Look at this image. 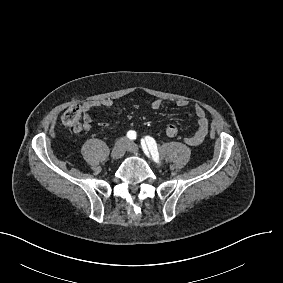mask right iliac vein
Wrapping results in <instances>:
<instances>
[{
  "label": "right iliac vein",
  "mask_w": 283,
  "mask_h": 283,
  "mask_svg": "<svg viewBox=\"0 0 283 283\" xmlns=\"http://www.w3.org/2000/svg\"><path fill=\"white\" fill-rule=\"evenodd\" d=\"M126 147H127V140L126 139H120L118 140L113 149H112V152H111V157L113 160H118L120 159L124 153H125V150H126Z\"/></svg>",
  "instance_id": "obj_1"
}]
</instances>
